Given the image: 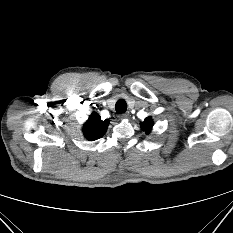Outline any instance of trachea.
<instances>
[{"instance_id":"1","label":"trachea","mask_w":233,"mask_h":233,"mask_svg":"<svg viewBox=\"0 0 233 233\" xmlns=\"http://www.w3.org/2000/svg\"><path fill=\"white\" fill-rule=\"evenodd\" d=\"M117 114H122L127 110V104L123 99H120L115 104Z\"/></svg>"}]
</instances>
